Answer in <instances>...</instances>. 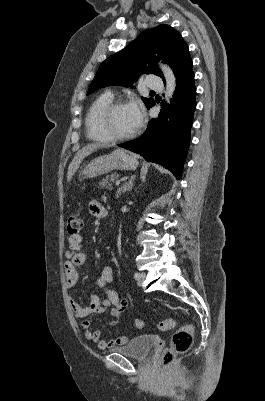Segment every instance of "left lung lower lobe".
Returning a JSON list of instances; mask_svg holds the SVG:
<instances>
[{
  "label": "left lung lower lobe",
  "mask_w": 265,
  "mask_h": 401,
  "mask_svg": "<svg viewBox=\"0 0 265 401\" xmlns=\"http://www.w3.org/2000/svg\"><path fill=\"white\" fill-rule=\"evenodd\" d=\"M174 74L177 84L171 105L162 107L159 116L149 121L143 135L118 146L140 154L149 162L163 165L179 179L196 107L191 58L185 59Z\"/></svg>",
  "instance_id": "left-lung-lower-lobe-1"
}]
</instances>
